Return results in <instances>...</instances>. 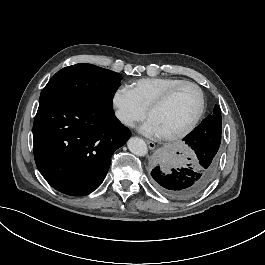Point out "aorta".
<instances>
[{
    "label": "aorta",
    "instance_id": "762f6f07",
    "mask_svg": "<svg viewBox=\"0 0 265 265\" xmlns=\"http://www.w3.org/2000/svg\"><path fill=\"white\" fill-rule=\"evenodd\" d=\"M130 152L138 157H144L148 153V147L143 139L131 138L128 141Z\"/></svg>",
    "mask_w": 265,
    "mask_h": 265
}]
</instances>
